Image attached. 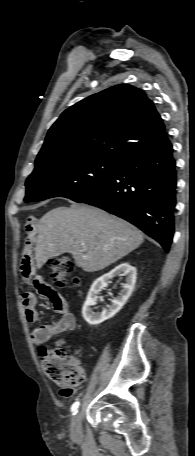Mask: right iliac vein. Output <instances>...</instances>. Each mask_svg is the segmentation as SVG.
<instances>
[{
    "mask_svg": "<svg viewBox=\"0 0 195 456\" xmlns=\"http://www.w3.org/2000/svg\"><path fill=\"white\" fill-rule=\"evenodd\" d=\"M71 436L74 440H79L82 437V428H81V414L80 412L76 413L71 421Z\"/></svg>",
    "mask_w": 195,
    "mask_h": 456,
    "instance_id": "63e3f726",
    "label": "right iliac vein"
}]
</instances>
